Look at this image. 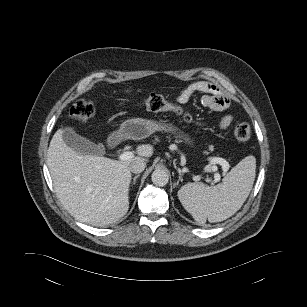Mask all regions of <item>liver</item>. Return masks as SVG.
<instances>
[{"instance_id":"obj_1","label":"liver","mask_w":307,"mask_h":307,"mask_svg":"<svg viewBox=\"0 0 307 307\" xmlns=\"http://www.w3.org/2000/svg\"><path fill=\"white\" fill-rule=\"evenodd\" d=\"M136 152L138 156L127 161L83 155L67 146L62 130H57L47 151V165L61 204L75 219L92 226L117 222L129 209V165L151 157L153 147L140 145Z\"/></svg>"}]
</instances>
